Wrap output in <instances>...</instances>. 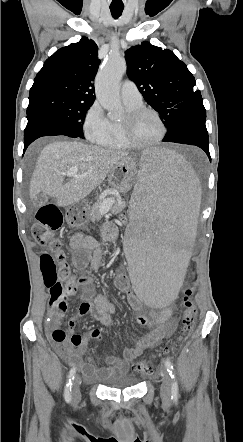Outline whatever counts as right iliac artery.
<instances>
[{"label":"right iliac artery","instance_id":"82829eb1","mask_svg":"<svg viewBox=\"0 0 243 442\" xmlns=\"http://www.w3.org/2000/svg\"><path fill=\"white\" fill-rule=\"evenodd\" d=\"M75 373H76V369L73 367L68 375L67 378V382L65 385V390H64V397L67 403H69L71 401V386H72V382L74 380L75 377Z\"/></svg>","mask_w":243,"mask_h":442}]
</instances>
